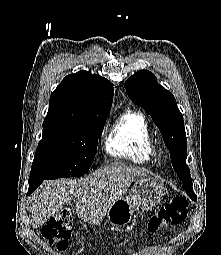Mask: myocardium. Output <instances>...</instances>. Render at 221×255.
Segmentation results:
<instances>
[{"label": "myocardium", "mask_w": 221, "mask_h": 255, "mask_svg": "<svg viewBox=\"0 0 221 255\" xmlns=\"http://www.w3.org/2000/svg\"><path fill=\"white\" fill-rule=\"evenodd\" d=\"M151 153H152V156L155 158H158L161 156V150L155 146L152 147Z\"/></svg>", "instance_id": "1"}]
</instances>
